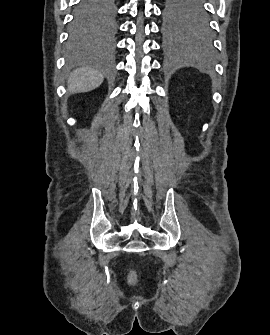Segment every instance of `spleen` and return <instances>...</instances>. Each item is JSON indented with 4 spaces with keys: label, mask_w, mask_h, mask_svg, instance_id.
Instances as JSON below:
<instances>
[{
    "label": "spleen",
    "mask_w": 270,
    "mask_h": 335,
    "mask_svg": "<svg viewBox=\"0 0 270 335\" xmlns=\"http://www.w3.org/2000/svg\"><path fill=\"white\" fill-rule=\"evenodd\" d=\"M197 48L195 46H184L183 50V60L184 62H198V54L195 52Z\"/></svg>",
    "instance_id": "spleen-1"
}]
</instances>
